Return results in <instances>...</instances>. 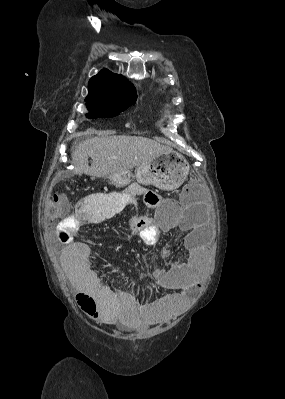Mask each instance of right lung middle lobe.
I'll use <instances>...</instances> for the list:
<instances>
[{
  "label": "right lung middle lobe",
  "instance_id": "dd1d6c3e",
  "mask_svg": "<svg viewBox=\"0 0 285 399\" xmlns=\"http://www.w3.org/2000/svg\"><path fill=\"white\" fill-rule=\"evenodd\" d=\"M137 96L123 97L116 99H94L86 100V105L90 113L88 118H110L118 115L136 101Z\"/></svg>",
  "mask_w": 285,
  "mask_h": 399
}]
</instances>
